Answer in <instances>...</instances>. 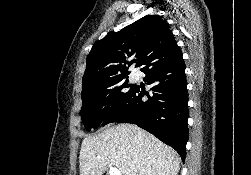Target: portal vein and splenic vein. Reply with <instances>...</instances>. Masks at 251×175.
<instances>
[{"mask_svg":"<svg viewBox=\"0 0 251 175\" xmlns=\"http://www.w3.org/2000/svg\"><path fill=\"white\" fill-rule=\"evenodd\" d=\"M109 173L110 175H122L121 171H119L117 167H110Z\"/></svg>","mask_w":251,"mask_h":175,"instance_id":"portal-vein-and-splenic-vein-1","label":"portal vein and splenic vein"}]
</instances>
